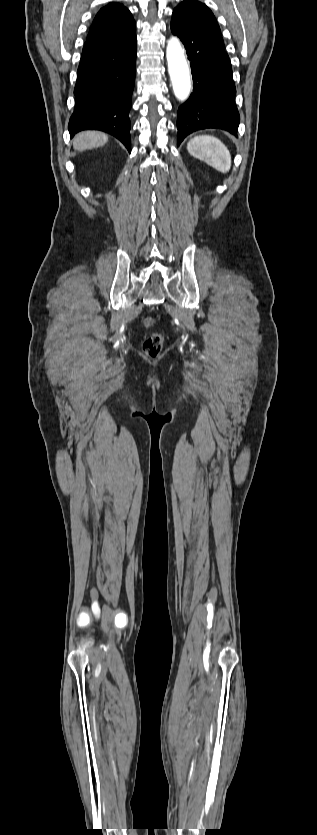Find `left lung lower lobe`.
I'll list each match as a JSON object with an SVG mask.
<instances>
[{"label":"left lung lower lobe","mask_w":317,"mask_h":835,"mask_svg":"<svg viewBox=\"0 0 317 835\" xmlns=\"http://www.w3.org/2000/svg\"><path fill=\"white\" fill-rule=\"evenodd\" d=\"M171 30L185 45L193 75V92L178 109L177 144L207 128L236 135L240 116L232 67L213 13L197 0H184L173 11Z\"/></svg>","instance_id":"obj_1"}]
</instances>
